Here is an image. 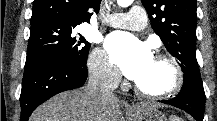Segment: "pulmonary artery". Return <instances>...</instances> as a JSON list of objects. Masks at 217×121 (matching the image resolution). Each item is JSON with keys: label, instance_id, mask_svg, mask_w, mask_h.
<instances>
[{"label": "pulmonary artery", "instance_id": "e3ab8cb5", "mask_svg": "<svg viewBox=\"0 0 217 121\" xmlns=\"http://www.w3.org/2000/svg\"><path fill=\"white\" fill-rule=\"evenodd\" d=\"M105 23L117 28L141 30L147 25V16L142 7L133 6L127 13H113L108 15Z\"/></svg>", "mask_w": 217, "mask_h": 121}]
</instances>
